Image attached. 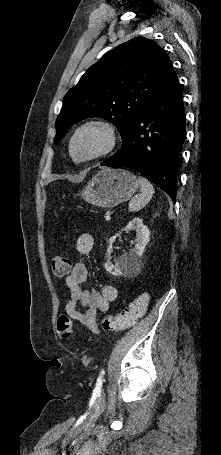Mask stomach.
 <instances>
[{
    "label": "stomach",
    "instance_id": "stomach-1",
    "mask_svg": "<svg viewBox=\"0 0 221 455\" xmlns=\"http://www.w3.org/2000/svg\"><path fill=\"white\" fill-rule=\"evenodd\" d=\"M139 187L136 176L125 169H103L83 188L80 197L89 204L111 208L129 200Z\"/></svg>",
    "mask_w": 221,
    "mask_h": 455
}]
</instances>
